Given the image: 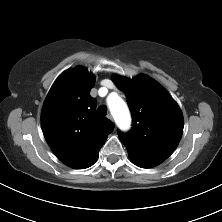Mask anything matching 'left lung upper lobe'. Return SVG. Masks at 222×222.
<instances>
[{
    "label": "left lung upper lobe",
    "mask_w": 222,
    "mask_h": 222,
    "mask_svg": "<svg viewBox=\"0 0 222 222\" xmlns=\"http://www.w3.org/2000/svg\"><path fill=\"white\" fill-rule=\"evenodd\" d=\"M113 81L125 93L132 112L130 132L118 131L130 159L143 168L162 163L174 152L182 136L184 122L179 106L149 76H114Z\"/></svg>",
    "instance_id": "5c2ea615"
}]
</instances>
